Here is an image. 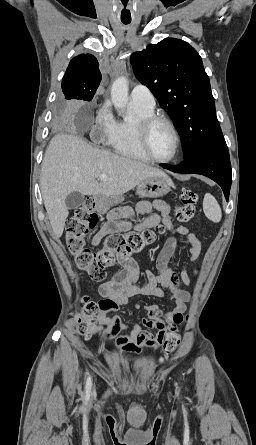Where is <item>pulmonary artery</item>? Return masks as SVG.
<instances>
[{"label":"pulmonary artery","instance_id":"pulmonary-artery-1","mask_svg":"<svg viewBox=\"0 0 256 445\" xmlns=\"http://www.w3.org/2000/svg\"><path fill=\"white\" fill-rule=\"evenodd\" d=\"M130 100L132 105L143 109L152 110L155 106L154 96L145 85H136L130 93Z\"/></svg>","mask_w":256,"mask_h":445}]
</instances>
